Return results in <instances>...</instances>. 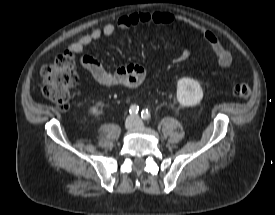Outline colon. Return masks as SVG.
<instances>
[{
	"mask_svg": "<svg viewBox=\"0 0 275 215\" xmlns=\"http://www.w3.org/2000/svg\"><path fill=\"white\" fill-rule=\"evenodd\" d=\"M41 76L43 95L60 110H67L71 89L78 82V75L74 68V54L65 50L52 63L42 68ZM232 91L239 98H248L251 95L250 86L243 82L235 84Z\"/></svg>",
	"mask_w": 275,
	"mask_h": 215,
	"instance_id": "obj_1",
	"label": "colon"
}]
</instances>
